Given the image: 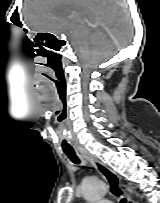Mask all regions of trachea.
Returning a JSON list of instances; mask_svg holds the SVG:
<instances>
[{"label":"trachea","instance_id":"1","mask_svg":"<svg viewBox=\"0 0 160 203\" xmlns=\"http://www.w3.org/2000/svg\"><path fill=\"white\" fill-rule=\"evenodd\" d=\"M64 153L68 156V158L75 164L80 163V159L77 157L74 150H64ZM120 203H127L126 199H122Z\"/></svg>","mask_w":160,"mask_h":203}]
</instances>
